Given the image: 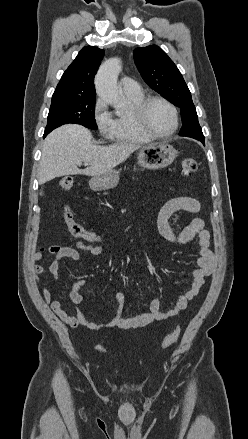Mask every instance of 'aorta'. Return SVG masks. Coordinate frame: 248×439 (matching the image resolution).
<instances>
[{"instance_id": "obj_1", "label": "aorta", "mask_w": 248, "mask_h": 439, "mask_svg": "<svg viewBox=\"0 0 248 439\" xmlns=\"http://www.w3.org/2000/svg\"><path fill=\"white\" fill-rule=\"evenodd\" d=\"M122 65L119 58L106 60L99 68L95 77V87L98 96L116 109L125 106L126 101L117 86L118 75Z\"/></svg>"}]
</instances>
